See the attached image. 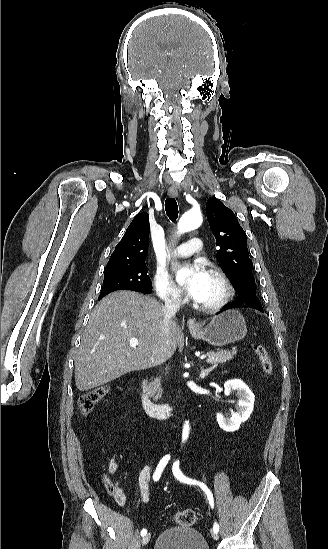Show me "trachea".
I'll return each mask as SVG.
<instances>
[{"label":"trachea","mask_w":328,"mask_h":549,"mask_svg":"<svg viewBox=\"0 0 328 549\" xmlns=\"http://www.w3.org/2000/svg\"><path fill=\"white\" fill-rule=\"evenodd\" d=\"M166 214L172 222H175L178 218V206L174 198L165 200Z\"/></svg>","instance_id":"trachea-1"}]
</instances>
